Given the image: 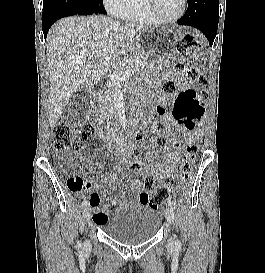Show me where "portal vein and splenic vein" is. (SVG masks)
Listing matches in <instances>:
<instances>
[{
    "label": "portal vein and splenic vein",
    "mask_w": 265,
    "mask_h": 273,
    "mask_svg": "<svg viewBox=\"0 0 265 273\" xmlns=\"http://www.w3.org/2000/svg\"><path fill=\"white\" fill-rule=\"evenodd\" d=\"M97 57H100V54H97ZM130 73L131 71L129 69L125 70L121 66L115 67V74L119 79L129 75Z\"/></svg>",
    "instance_id": "portal-vein-and-splenic-vein-1"
}]
</instances>
